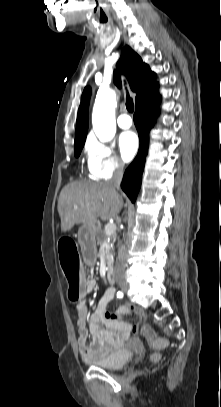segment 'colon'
<instances>
[{"label": "colon", "mask_w": 221, "mask_h": 407, "mask_svg": "<svg viewBox=\"0 0 221 407\" xmlns=\"http://www.w3.org/2000/svg\"><path fill=\"white\" fill-rule=\"evenodd\" d=\"M59 255L61 267L67 278L69 284V303L72 306H76L79 300H82L83 293V280L81 277L79 257L76 251L74 242L70 238H62L59 242ZM142 336L147 344L156 349H163L167 346V341L162 338L156 337L152 329L145 325L141 328ZM158 354H154L152 359L155 361L158 359Z\"/></svg>", "instance_id": "obj_1"}]
</instances>
